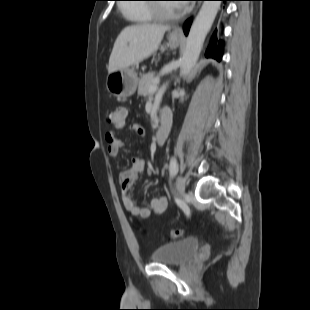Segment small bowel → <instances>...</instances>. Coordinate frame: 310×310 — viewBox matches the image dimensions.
<instances>
[{
    "label": "small bowel",
    "mask_w": 310,
    "mask_h": 310,
    "mask_svg": "<svg viewBox=\"0 0 310 310\" xmlns=\"http://www.w3.org/2000/svg\"><path fill=\"white\" fill-rule=\"evenodd\" d=\"M168 110V109H167ZM131 131L138 135L144 136L145 130L141 125L131 126ZM105 139L108 143L107 152L111 157H117L122 148V143L116 138L115 133L110 131L106 134ZM145 169V160L141 157H134L131 160V166L123 171L119 176V188L123 205L127 212L138 220L148 218L152 213L160 215L168 207V200L165 196L151 197L148 203L142 207L134 203L130 195L132 185L137 181L140 174Z\"/></svg>",
    "instance_id": "obj_1"
}]
</instances>
